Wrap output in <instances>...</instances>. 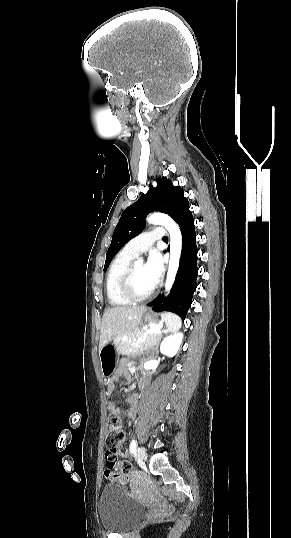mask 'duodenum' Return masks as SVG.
Here are the masks:
<instances>
[{
  "label": "duodenum",
  "instance_id": "duodenum-1",
  "mask_svg": "<svg viewBox=\"0 0 291 538\" xmlns=\"http://www.w3.org/2000/svg\"><path fill=\"white\" fill-rule=\"evenodd\" d=\"M136 381L138 382V386H141L142 382L144 381L145 374L143 372H138L136 374Z\"/></svg>",
  "mask_w": 291,
  "mask_h": 538
}]
</instances>
